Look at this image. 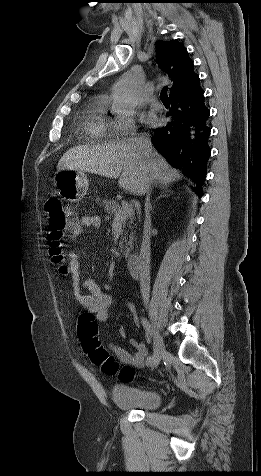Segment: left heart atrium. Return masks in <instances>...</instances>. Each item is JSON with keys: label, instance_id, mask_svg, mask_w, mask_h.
I'll return each mask as SVG.
<instances>
[{"label": "left heart atrium", "instance_id": "obj_1", "mask_svg": "<svg viewBox=\"0 0 261 476\" xmlns=\"http://www.w3.org/2000/svg\"><path fill=\"white\" fill-rule=\"evenodd\" d=\"M144 120L149 122L151 119L147 117V118H144Z\"/></svg>", "mask_w": 261, "mask_h": 476}]
</instances>
